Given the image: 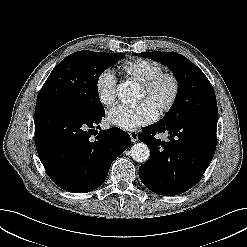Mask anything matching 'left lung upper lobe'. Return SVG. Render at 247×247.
<instances>
[{
    "label": "left lung upper lobe",
    "instance_id": "left-lung-upper-lobe-1",
    "mask_svg": "<svg viewBox=\"0 0 247 247\" xmlns=\"http://www.w3.org/2000/svg\"><path fill=\"white\" fill-rule=\"evenodd\" d=\"M138 56L161 61L175 75L178 94L171 109L160 121L172 123L197 116L218 117L216 97L205 74L190 60L176 52H143Z\"/></svg>",
    "mask_w": 247,
    "mask_h": 247
}]
</instances>
